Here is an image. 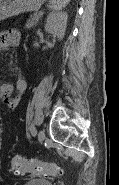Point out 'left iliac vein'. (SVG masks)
Instances as JSON below:
<instances>
[{"label": "left iliac vein", "mask_w": 119, "mask_h": 185, "mask_svg": "<svg viewBox=\"0 0 119 185\" xmlns=\"http://www.w3.org/2000/svg\"><path fill=\"white\" fill-rule=\"evenodd\" d=\"M45 139V132L43 130H40L38 133V141L42 143Z\"/></svg>", "instance_id": "obj_1"}]
</instances>
